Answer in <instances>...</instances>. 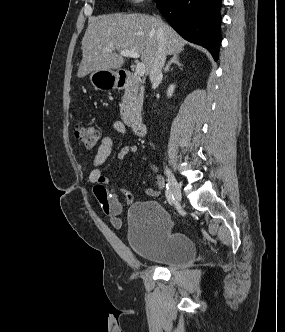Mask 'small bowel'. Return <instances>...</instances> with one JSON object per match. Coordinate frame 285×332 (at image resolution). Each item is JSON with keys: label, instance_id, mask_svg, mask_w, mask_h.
<instances>
[{"label": "small bowel", "instance_id": "c3829d8e", "mask_svg": "<svg viewBox=\"0 0 285 332\" xmlns=\"http://www.w3.org/2000/svg\"><path fill=\"white\" fill-rule=\"evenodd\" d=\"M114 131L120 135H124L127 132L126 125L120 121L115 120L112 123ZM113 147V140L110 136L105 135L102 137L100 145L97 148L96 154L92 162V169L89 174V181L93 184V194L99 204L101 205L103 211L110 217L111 224L120 228L122 221L119 217L122 212L123 203L120 198V194L123 196L126 204L130 205L134 200V195L126 189H108L109 178L103 174L102 167L108 157L111 155ZM138 152V147L133 144L123 146L117 157L119 160L125 159L128 155H134ZM144 160H147L144 158ZM152 171L157 172L158 168L155 164L149 163ZM156 186L145 190V195L148 197H156L160 194L163 179L161 176L156 177Z\"/></svg>", "mask_w": 285, "mask_h": 332}]
</instances>
